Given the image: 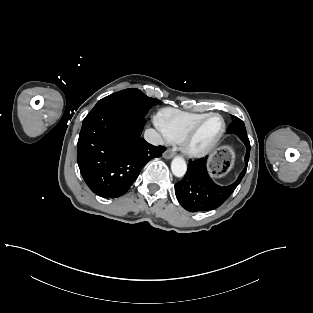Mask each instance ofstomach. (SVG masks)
<instances>
[{
  "label": "stomach",
  "mask_w": 313,
  "mask_h": 313,
  "mask_svg": "<svg viewBox=\"0 0 313 313\" xmlns=\"http://www.w3.org/2000/svg\"><path fill=\"white\" fill-rule=\"evenodd\" d=\"M234 158V151L230 146L220 147L210 156L209 170L215 177H221L232 168Z\"/></svg>",
  "instance_id": "0dacf381"
}]
</instances>
